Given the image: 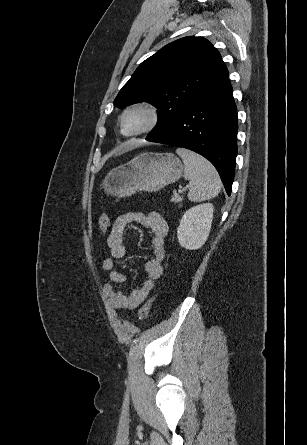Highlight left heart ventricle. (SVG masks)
Here are the masks:
<instances>
[{
	"mask_svg": "<svg viewBox=\"0 0 307 445\" xmlns=\"http://www.w3.org/2000/svg\"><path fill=\"white\" fill-rule=\"evenodd\" d=\"M151 121V114L145 108L131 109L125 116L123 130L126 134H133L144 129Z\"/></svg>",
	"mask_w": 307,
	"mask_h": 445,
	"instance_id": "b2bd125f",
	"label": "left heart ventricle"
}]
</instances>
